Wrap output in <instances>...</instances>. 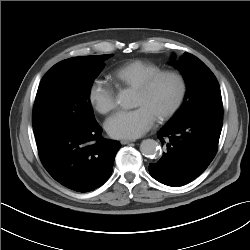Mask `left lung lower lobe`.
Here are the masks:
<instances>
[{"label": "left lung lower lobe", "instance_id": "obj_1", "mask_svg": "<svg viewBox=\"0 0 250 250\" xmlns=\"http://www.w3.org/2000/svg\"><path fill=\"white\" fill-rule=\"evenodd\" d=\"M223 124V107L211 108L173 124H166L158 138L167 149L157 163H150V175L168 186L185 185L213 160Z\"/></svg>", "mask_w": 250, "mask_h": 250}]
</instances>
